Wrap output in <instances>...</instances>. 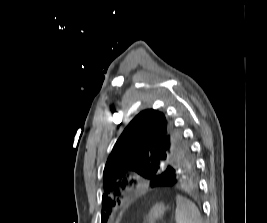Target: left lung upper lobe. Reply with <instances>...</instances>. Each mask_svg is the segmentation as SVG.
<instances>
[{
    "mask_svg": "<svg viewBox=\"0 0 267 223\" xmlns=\"http://www.w3.org/2000/svg\"><path fill=\"white\" fill-rule=\"evenodd\" d=\"M167 170H196L190 146L166 113L144 110L124 129L105 165L102 223L116 206L109 195L131 183L130 174L136 173L152 182L156 179L153 173Z\"/></svg>",
    "mask_w": 267,
    "mask_h": 223,
    "instance_id": "1",
    "label": "left lung upper lobe"
}]
</instances>
